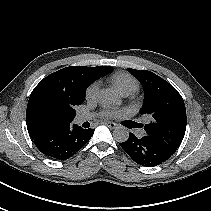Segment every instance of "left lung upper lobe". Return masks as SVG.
<instances>
[{"label":"left lung upper lobe","instance_id":"left-lung-upper-lobe-1","mask_svg":"<svg viewBox=\"0 0 211 211\" xmlns=\"http://www.w3.org/2000/svg\"><path fill=\"white\" fill-rule=\"evenodd\" d=\"M143 85L144 103L140 114L153 119L145 124V136L174 154L186 130V109L178 91L167 81L148 70L127 69Z\"/></svg>","mask_w":211,"mask_h":211}]
</instances>
